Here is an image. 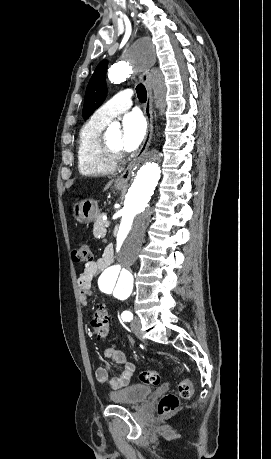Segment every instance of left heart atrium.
<instances>
[{"label":"left heart atrium","instance_id":"left-heart-atrium-1","mask_svg":"<svg viewBox=\"0 0 271 459\" xmlns=\"http://www.w3.org/2000/svg\"><path fill=\"white\" fill-rule=\"evenodd\" d=\"M147 133L145 117L140 112L125 115L122 122L123 148L134 150L144 141Z\"/></svg>","mask_w":271,"mask_h":459}]
</instances>
